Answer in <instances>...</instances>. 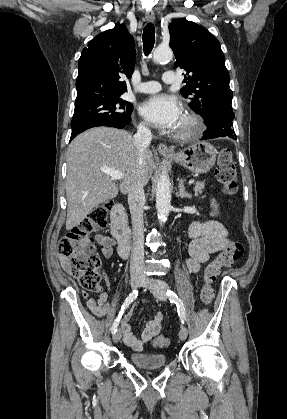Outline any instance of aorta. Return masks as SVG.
<instances>
[{
    "label": "aorta",
    "mask_w": 287,
    "mask_h": 419,
    "mask_svg": "<svg viewBox=\"0 0 287 419\" xmlns=\"http://www.w3.org/2000/svg\"><path fill=\"white\" fill-rule=\"evenodd\" d=\"M173 52L169 47H157L153 52L155 62L170 61ZM156 209L160 225H163L171 211V183L165 170L159 176L156 186Z\"/></svg>",
    "instance_id": "1"
}]
</instances>
